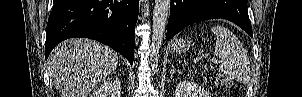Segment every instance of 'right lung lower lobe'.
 Returning a JSON list of instances; mask_svg holds the SVG:
<instances>
[{
	"label": "right lung lower lobe",
	"instance_id": "right-lung-lower-lobe-1",
	"mask_svg": "<svg viewBox=\"0 0 302 97\" xmlns=\"http://www.w3.org/2000/svg\"><path fill=\"white\" fill-rule=\"evenodd\" d=\"M139 0H54L46 29L45 58L65 39L97 40L134 60Z\"/></svg>",
	"mask_w": 302,
	"mask_h": 97
}]
</instances>
